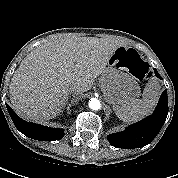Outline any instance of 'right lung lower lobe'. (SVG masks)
Masks as SVG:
<instances>
[{"label": "right lung lower lobe", "mask_w": 178, "mask_h": 178, "mask_svg": "<svg viewBox=\"0 0 178 178\" xmlns=\"http://www.w3.org/2000/svg\"><path fill=\"white\" fill-rule=\"evenodd\" d=\"M6 107L15 127L25 136L41 141H55L64 136L62 129L50 128L36 123L25 122L12 110L8 104H6Z\"/></svg>", "instance_id": "obj_1"}]
</instances>
